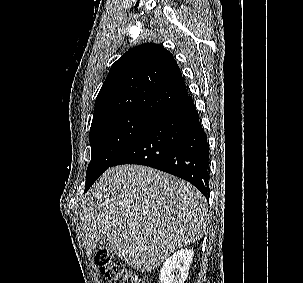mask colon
I'll return each instance as SVG.
<instances>
[{
  "instance_id": "obj_1",
  "label": "colon",
  "mask_w": 303,
  "mask_h": 283,
  "mask_svg": "<svg viewBox=\"0 0 303 283\" xmlns=\"http://www.w3.org/2000/svg\"><path fill=\"white\" fill-rule=\"evenodd\" d=\"M95 263L110 283H147L145 279L107 251H98L95 256Z\"/></svg>"
}]
</instances>
